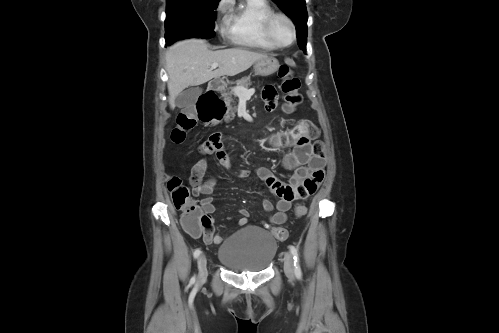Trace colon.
Segmentation results:
<instances>
[{
  "instance_id": "5ec220e1",
  "label": "colon",
  "mask_w": 499,
  "mask_h": 333,
  "mask_svg": "<svg viewBox=\"0 0 499 333\" xmlns=\"http://www.w3.org/2000/svg\"><path fill=\"white\" fill-rule=\"evenodd\" d=\"M279 77L281 79L280 88L284 95L283 109L287 113H293L302 103V95L299 92L300 81L287 66H282L279 69ZM209 97L216 111L215 118H219L224 113V104L215 94ZM196 124L195 116L190 113H181L171 132L172 142L175 144L184 142L187 134L195 128ZM167 188L174 206L182 212L184 228L194 235H202L205 241L211 240L214 234L212 220L202 207L190 197L188 187L182 183L180 178L173 176L168 180ZM306 213L305 204H299L295 207L297 217H302ZM271 231L277 240L282 241L288 237L287 230L282 227H274Z\"/></svg>"
}]
</instances>
